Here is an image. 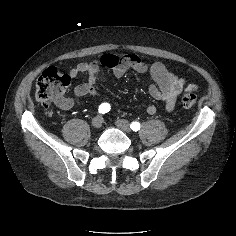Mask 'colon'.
I'll list each match as a JSON object with an SVG mask.
<instances>
[{
    "instance_id": "colon-1",
    "label": "colon",
    "mask_w": 236,
    "mask_h": 236,
    "mask_svg": "<svg viewBox=\"0 0 236 236\" xmlns=\"http://www.w3.org/2000/svg\"><path fill=\"white\" fill-rule=\"evenodd\" d=\"M70 84V76L61 72L55 67H49L43 71L36 81V98L41 104L49 101L60 102ZM196 97L192 93H185L181 96V103L184 107H191L195 104Z\"/></svg>"
}]
</instances>
